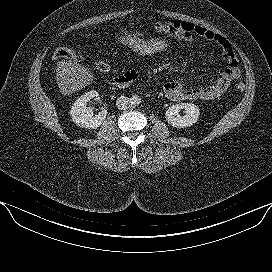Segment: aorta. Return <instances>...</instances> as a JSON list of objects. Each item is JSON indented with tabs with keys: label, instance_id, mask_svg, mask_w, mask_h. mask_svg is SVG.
<instances>
[{
	"label": "aorta",
	"instance_id": "1",
	"mask_svg": "<svg viewBox=\"0 0 272 272\" xmlns=\"http://www.w3.org/2000/svg\"><path fill=\"white\" fill-rule=\"evenodd\" d=\"M141 103V98L138 95H133L130 97L131 106H138Z\"/></svg>",
	"mask_w": 272,
	"mask_h": 272
}]
</instances>
